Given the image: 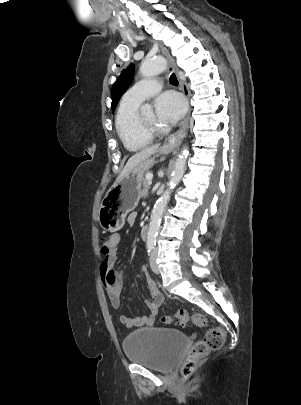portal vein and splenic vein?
<instances>
[{
    "mask_svg": "<svg viewBox=\"0 0 301 405\" xmlns=\"http://www.w3.org/2000/svg\"><path fill=\"white\" fill-rule=\"evenodd\" d=\"M146 178H147L149 181H151L152 178H153V175H152V174H146ZM150 184H151V183H150Z\"/></svg>",
    "mask_w": 301,
    "mask_h": 405,
    "instance_id": "18ae733b",
    "label": "portal vein and splenic vein"
}]
</instances>
